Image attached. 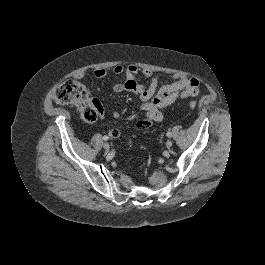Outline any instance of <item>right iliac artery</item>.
I'll use <instances>...</instances> for the list:
<instances>
[{"mask_svg":"<svg viewBox=\"0 0 265 265\" xmlns=\"http://www.w3.org/2000/svg\"><path fill=\"white\" fill-rule=\"evenodd\" d=\"M108 139H109V137H108V136H106V135H105V136H103V140H104V141H107Z\"/></svg>","mask_w":265,"mask_h":265,"instance_id":"1","label":"right iliac artery"}]
</instances>
